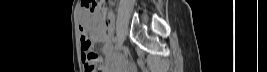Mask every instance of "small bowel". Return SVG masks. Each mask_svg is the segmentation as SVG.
<instances>
[{"instance_id":"small-bowel-1","label":"small bowel","mask_w":267,"mask_h":72,"mask_svg":"<svg viewBox=\"0 0 267 72\" xmlns=\"http://www.w3.org/2000/svg\"><path fill=\"white\" fill-rule=\"evenodd\" d=\"M92 25L97 27V32H96V37L104 41V45L102 48V53L106 58L110 57L111 54V36L110 32L112 31L113 28V15H109V19L107 20H101V19H95L90 22ZM86 39V32L85 30H82L81 33V41ZM84 51L81 49V57L83 64H85V58H84ZM100 57V56H99ZM101 66V71H107L108 70V65L105 63L104 59L100 57V62Z\"/></svg>"}]
</instances>
